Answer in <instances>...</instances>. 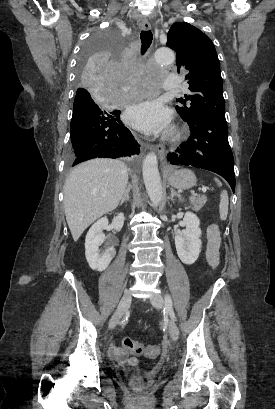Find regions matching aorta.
<instances>
[{
	"mask_svg": "<svg viewBox=\"0 0 275 409\" xmlns=\"http://www.w3.org/2000/svg\"><path fill=\"white\" fill-rule=\"evenodd\" d=\"M149 57L150 60H160L163 64L175 60V54L170 48L150 51ZM143 178L150 200H152L153 205H159L160 200H162V182L155 152H149L143 160Z\"/></svg>",
	"mask_w": 275,
	"mask_h": 409,
	"instance_id": "obj_1",
	"label": "aorta"
}]
</instances>
